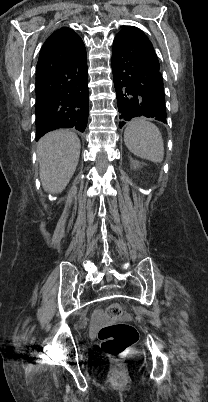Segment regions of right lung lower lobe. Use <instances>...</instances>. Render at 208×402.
Listing matches in <instances>:
<instances>
[{"mask_svg":"<svg viewBox=\"0 0 208 402\" xmlns=\"http://www.w3.org/2000/svg\"><path fill=\"white\" fill-rule=\"evenodd\" d=\"M88 113L87 54L74 34L41 49L36 68V140L59 128L84 132Z\"/></svg>","mask_w":208,"mask_h":402,"instance_id":"obj_1","label":"right lung lower lobe"}]
</instances>
